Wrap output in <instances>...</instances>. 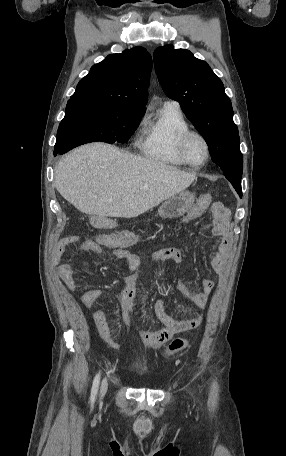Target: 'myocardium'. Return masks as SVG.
<instances>
[{
    "mask_svg": "<svg viewBox=\"0 0 286 456\" xmlns=\"http://www.w3.org/2000/svg\"><path fill=\"white\" fill-rule=\"evenodd\" d=\"M193 136L200 138L203 141L205 148H206V158L200 164L192 163L186 155L185 147H186L187 141ZM176 151H177V154L179 155V157L183 160V162L186 165H188L192 168H195V169H199V168H202L203 166H205L211 158V148H210V144H209V141L207 140V138L202 133L195 131V130H191V129L183 132L182 134H180L178 136V138L176 140Z\"/></svg>",
    "mask_w": 286,
    "mask_h": 456,
    "instance_id": "obj_1",
    "label": "myocardium"
}]
</instances>
